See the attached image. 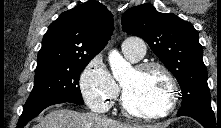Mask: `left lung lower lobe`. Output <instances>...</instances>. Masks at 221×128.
Wrapping results in <instances>:
<instances>
[{"label": "left lung lower lobe", "instance_id": "0a47b994", "mask_svg": "<svg viewBox=\"0 0 221 128\" xmlns=\"http://www.w3.org/2000/svg\"><path fill=\"white\" fill-rule=\"evenodd\" d=\"M177 116H189L197 120L204 128H220V121L214 112L191 110L184 113H178Z\"/></svg>", "mask_w": 221, "mask_h": 128}]
</instances>
